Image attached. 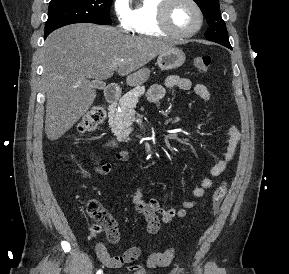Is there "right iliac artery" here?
Listing matches in <instances>:
<instances>
[{
    "mask_svg": "<svg viewBox=\"0 0 289 274\" xmlns=\"http://www.w3.org/2000/svg\"><path fill=\"white\" fill-rule=\"evenodd\" d=\"M96 274H102V270H98Z\"/></svg>",
    "mask_w": 289,
    "mask_h": 274,
    "instance_id": "right-iliac-artery-1",
    "label": "right iliac artery"
}]
</instances>
